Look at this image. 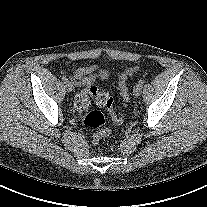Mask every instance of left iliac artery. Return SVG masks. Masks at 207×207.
I'll return each instance as SVG.
<instances>
[{
	"label": "left iliac artery",
	"mask_w": 207,
	"mask_h": 207,
	"mask_svg": "<svg viewBox=\"0 0 207 207\" xmlns=\"http://www.w3.org/2000/svg\"><path fill=\"white\" fill-rule=\"evenodd\" d=\"M139 84H140V85H143V84H144V80H140V81H139Z\"/></svg>",
	"instance_id": "left-iliac-artery-1"
}]
</instances>
